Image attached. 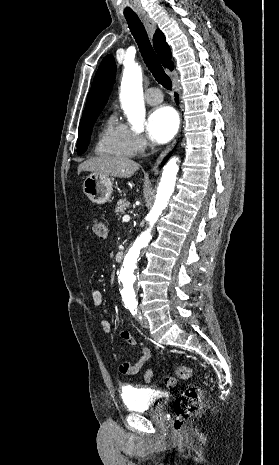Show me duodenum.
<instances>
[{
    "mask_svg": "<svg viewBox=\"0 0 279 465\" xmlns=\"http://www.w3.org/2000/svg\"><path fill=\"white\" fill-rule=\"evenodd\" d=\"M123 257H124V252L123 251H119L116 253L115 255V260L117 262H121L123 260Z\"/></svg>",
    "mask_w": 279,
    "mask_h": 465,
    "instance_id": "410a0bca",
    "label": "duodenum"
}]
</instances>
